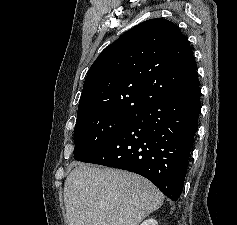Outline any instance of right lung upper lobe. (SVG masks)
<instances>
[{
  "mask_svg": "<svg viewBox=\"0 0 237 225\" xmlns=\"http://www.w3.org/2000/svg\"><path fill=\"white\" fill-rule=\"evenodd\" d=\"M199 84L188 39L172 22L144 21L106 47L90 67L77 120L136 115L147 105Z\"/></svg>",
  "mask_w": 237,
  "mask_h": 225,
  "instance_id": "cb5924a9",
  "label": "right lung upper lobe"
}]
</instances>
